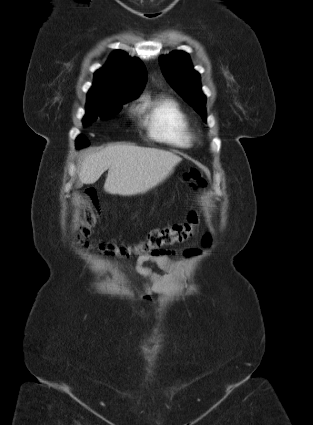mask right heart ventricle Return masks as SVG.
<instances>
[{
	"label": "right heart ventricle",
	"instance_id": "right-heart-ventricle-1",
	"mask_svg": "<svg viewBox=\"0 0 313 425\" xmlns=\"http://www.w3.org/2000/svg\"><path fill=\"white\" fill-rule=\"evenodd\" d=\"M139 110L149 136L174 147H189L194 131L187 115L180 106L168 98H144Z\"/></svg>",
	"mask_w": 313,
	"mask_h": 425
}]
</instances>
